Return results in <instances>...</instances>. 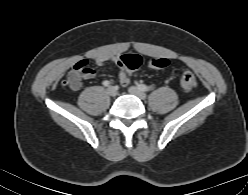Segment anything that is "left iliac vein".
<instances>
[{"mask_svg": "<svg viewBox=\"0 0 248 195\" xmlns=\"http://www.w3.org/2000/svg\"><path fill=\"white\" fill-rule=\"evenodd\" d=\"M128 91L130 94L135 95L142 100L146 98V94L135 86L129 87Z\"/></svg>", "mask_w": 248, "mask_h": 195, "instance_id": "obj_1", "label": "left iliac vein"}]
</instances>
